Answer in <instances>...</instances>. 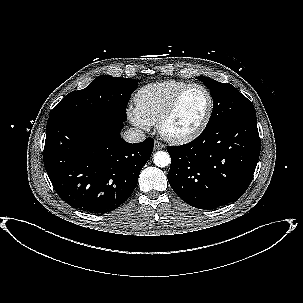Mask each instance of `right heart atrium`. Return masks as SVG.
Wrapping results in <instances>:
<instances>
[{"instance_id": "1", "label": "right heart atrium", "mask_w": 303, "mask_h": 303, "mask_svg": "<svg viewBox=\"0 0 303 303\" xmlns=\"http://www.w3.org/2000/svg\"><path fill=\"white\" fill-rule=\"evenodd\" d=\"M126 114L130 122L139 130H148L151 124L139 113L136 107L129 106Z\"/></svg>"}]
</instances>
